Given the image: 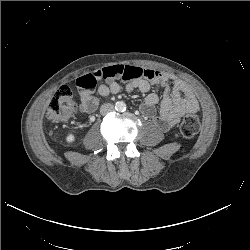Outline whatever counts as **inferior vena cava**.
Masks as SVG:
<instances>
[{
	"mask_svg": "<svg viewBox=\"0 0 250 250\" xmlns=\"http://www.w3.org/2000/svg\"><path fill=\"white\" fill-rule=\"evenodd\" d=\"M113 110H114V106L112 104H110V103H105L100 108V112L103 115H105V114H107V113H109V112H111Z\"/></svg>",
	"mask_w": 250,
	"mask_h": 250,
	"instance_id": "obj_1",
	"label": "inferior vena cava"
}]
</instances>
